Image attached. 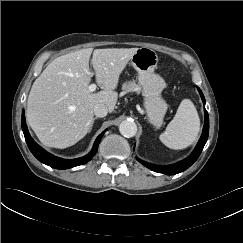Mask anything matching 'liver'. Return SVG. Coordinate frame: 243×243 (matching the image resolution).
Segmentation results:
<instances>
[{
	"instance_id": "6515ba94",
	"label": "liver",
	"mask_w": 243,
	"mask_h": 243,
	"mask_svg": "<svg viewBox=\"0 0 243 243\" xmlns=\"http://www.w3.org/2000/svg\"><path fill=\"white\" fill-rule=\"evenodd\" d=\"M138 48L81 49L54 59L34 81L26 118L40 142L64 149L76 144L90 131L94 106L104 104L113 112L120 74ZM102 89L88 90L89 60Z\"/></svg>"
}]
</instances>
